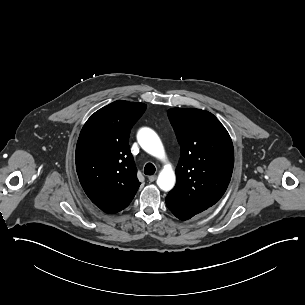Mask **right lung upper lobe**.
Instances as JSON below:
<instances>
[{"label":"right lung upper lobe","mask_w":305,"mask_h":305,"mask_svg":"<svg viewBox=\"0 0 305 305\" xmlns=\"http://www.w3.org/2000/svg\"><path fill=\"white\" fill-rule=\"evenodd\" d=\"M146 105L115 101L95 112L76 146V170L90 200L106 213L126 208L140 182L129 148V134Z\"/></svg>","instance_id":"right-lung-upper-lobe-1"}]
</instances>
